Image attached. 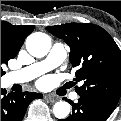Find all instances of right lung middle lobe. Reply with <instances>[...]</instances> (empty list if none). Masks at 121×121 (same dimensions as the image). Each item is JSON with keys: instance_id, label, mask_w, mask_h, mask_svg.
Masks as SVG:
<instances>
[{"instance_id": "obj_1", "label": "right lung middle lobe", "mask_w": 121, "mask_h": 121, "mask_svg": "<svg viewBox=\"0 0 121 121\" xmlns=\"http://www.w3.org/2000/svg\"><path fill=\"white\" fill-rule=\"evenodd\" d=\"M18 51V49L13 48L5 39H1V66L7 64L9 59L14 58ZM4 74L5 72L1 67V76Z\"/></svg>"}]
</instances>
